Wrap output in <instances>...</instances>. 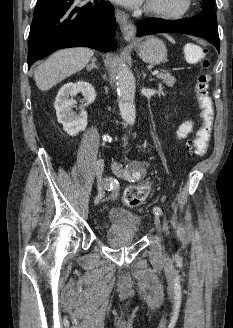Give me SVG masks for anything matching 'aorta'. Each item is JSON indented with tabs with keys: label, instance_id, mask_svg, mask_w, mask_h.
Wrapping results in <instances>:
<instances>
[{
	"label": "aorta",
	"instance_id": "1",
	"mask_svg": "<svg viewBox=\"0 0 233 328\" xmlns=\"http://www.w3.org/2000/svg\"><path fill=\"white\" fill-rule=\"evenodd\" d=\"M117 93L122 119L133 125L136 118L135 110V78L128 66L120 60L117 68Z\"/></svg>",
	"mask_w": 233,
	"mask_h": 328
}]
</instances>
